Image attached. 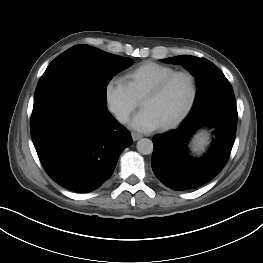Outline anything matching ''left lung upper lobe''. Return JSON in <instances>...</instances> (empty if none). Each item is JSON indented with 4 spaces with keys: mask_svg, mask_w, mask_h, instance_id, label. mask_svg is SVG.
I'll return each mask as SVG.
<instances>
[{
    "mask_svg": "<svg viewBox=\"0 0 263 263\" xmlns=\"http://www.w3.org/2000/svg\"><path fill=\"white\" fill-rule=\"evenodd\" d=\"M164 61L182 64L196 77L197 94L192 111L217 98L235 97L230 82L222 71L209 60L181 55L167 58Z\"/></svg>",
    "mask_w": 263,
    "mask_h": 263,
    "instance_id": "left-lung-upper-lobe-1",
    "label": "left lung upper lobe"
}]
</instances>
